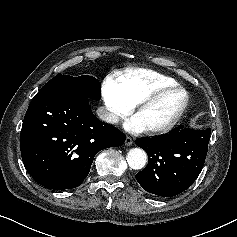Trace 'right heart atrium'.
<instances>
[{
	"mask_svg": "<svg viewBox=\"0 0 237 237\" xmlns=\"http://www.w3.org/2000/svg\"><path fill=\"white\" fill-rule=\"evenodd\" d=\"M101 94L105 105V118L111 124L131 113L134 105L121 93L113 77H107L101 86Z\"/></svg>",
	"mask_w": 237,
	"mask_h": 237,
	"instance_id": "obj_1",
	"label": "right heart atrium"
}]
</instances>
